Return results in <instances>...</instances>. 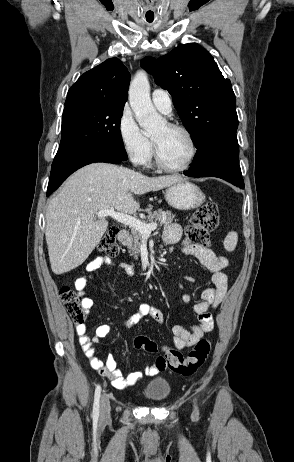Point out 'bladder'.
I'll list each match as a JSON object with an SVG mask.
<instances>
[{
  "label": "bladder",
  "mask_w": 294,
  "mask_h": 462,
  "mask_svg": "<svg viewBox=\"0 0 294 462\" xmlns=\"http://www.w3.org/2000/svg\"><path fill=\"white\" fill-rule=\"evenodd\" d=\"M172 390L171 383L166 378H157L146 384L141 396L152 403H160L166 400Z\"/></svg>",
  "instance_id": "bladder-1"
}]
</instances>
